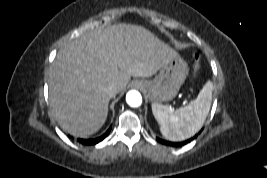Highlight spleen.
<instances>
[{
	"instance_id": "1",
	"label": "spleen",
	"mask_w": 267,
	"mask_h": 178,
	"mask_svg": "<svg viewBox=\"0 0 267 178\" xmlns=\"http://www.w3.org/2000/svg\"><path fill=\"white\" fill-rule=\"evenodd\" d=\"M213 83L206 82L196 99L174 110L170 106L152 103V112L162 135L171 141H182L195 135L203 126L212 102Z\"/></svg>"
}]
</instances>
